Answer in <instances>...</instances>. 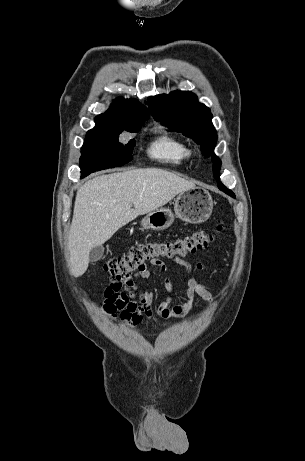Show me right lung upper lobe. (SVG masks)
I'll list each match as a JSON object with an SVG mask.
<instances>
[{
  "label": "right lung upper lobe",
  "instance_id": "right-lung-upper-lobe-1",
  "mask_svg": "<svg viewBox=\"0 0 305 461\" xmlns=\"http://www.w3.org/2000/svg\"><path fill=\"white\" fill-rule=\"evenodd\" d=\"M150 114L146 107L134 99L118 98L108 111L96 117V120L119 123L145 121Z\"/></svg>",
  "mask_w": 305,
  "mask_h": 461
}]
</instances>
